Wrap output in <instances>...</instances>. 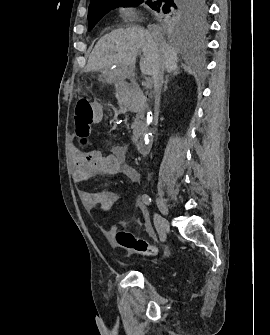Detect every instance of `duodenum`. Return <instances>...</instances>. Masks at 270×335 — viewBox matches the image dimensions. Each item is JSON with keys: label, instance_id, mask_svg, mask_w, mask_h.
<instances>
[{"label": "duodenum", "instance_id": "obj_1", "mask_svg": "<svg viewBox=\"0 0 270 335\" xmlns=\"http://www.w3.org/2000/svg\"><path fill=\"white\" fill-rule=\"evenodd\" d=\"M121 106L125 111L143 112L147 108V98L143 90L131 82L120 84ZM151 136L144 134L136 142L139 153L145 155L151 148Z\"/></svg>", "mask_w": 270, "mask_h": 335}]
</instances>
